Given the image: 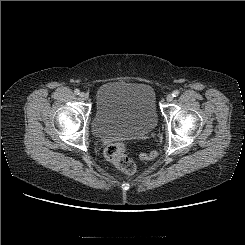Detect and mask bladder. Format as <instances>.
<instances>
[{
  "label": "bladder",
  "instance_id": "obj_1",
  "mask_svg": "<svg viewBox=\"0 0 245 245\" xmlns=\"http://www.w3.org/2000/svg\"><path fill=\"white\" fill-rule=\"evenodd\" d=\"M156 96L144 83L109 81L96 93L93 131L99 138H141L157 126Z\"/></svg>",
  "mask_w": 245,
  "mask_h": 245
}]
</instances>
